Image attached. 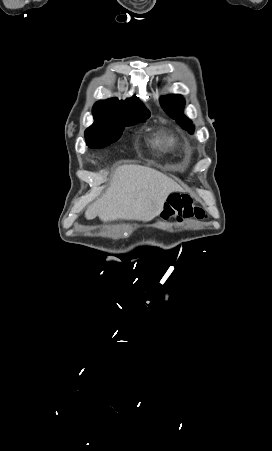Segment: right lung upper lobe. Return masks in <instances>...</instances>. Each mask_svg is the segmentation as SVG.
Masks as SVG:
<instances>
[{"label":"right lung upper lobe","instance_id":"1","mask_svg":"<svg viewBox=\"0 0 272 451\" xmlns=\"http://www.w3.org/2000/svg\"><path fill=\"white\" fill-rule=\"evenodd\" d=\"M139 108H145L142 102H140L135 96L126 100H118L117 98H111L107 100H101L94 104L93 112H114L121 113L127 112Z\"/></svg>","mask_w":272,"mask_h":451}]
</instances>
